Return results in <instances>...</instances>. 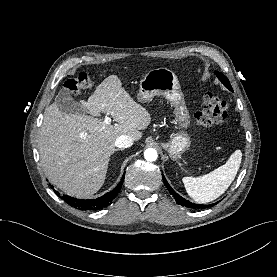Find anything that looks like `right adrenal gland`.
Returning a JSON list of instances; mask_svg holds the SVG:
<instances>
[{
	"mask_svg": "<svg viewBox=\"0 0 277 277\" xmlns=\"http://www.w3.org/2000/svg\"><path fill=\"white\" fill-rule=\"evenodd\" d=\"M119 150H122V149H115V151H119ZM115 151H114V152H115Z\"/></svg>",
	"mask_w": 277,
	"mask_h": 277,
	"instance_id": "obj_1",
	"label": "right adrenal gland"
}]
</instances>
